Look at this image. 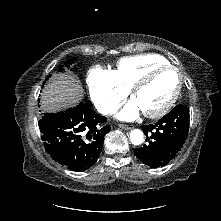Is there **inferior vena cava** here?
<instances>
[{
    "mask_svg": "<svg viewBox=\"0 0 221 221\" xmlns=\"http://www.w3.org/2000/svg\"><path fill=\"white\" fill-rule=\"evenodd\" d=\"M98 111L102 114H108L111 111V107L108 105L100 106Z\"/></svg>",
    "mask_w": 221,
    "mask_h": 221,
    "instance_id": "obj_1",
    "label": "inferior vena cava"
}]
</instances>
